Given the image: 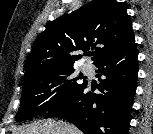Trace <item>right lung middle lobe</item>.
<instances>
[{
    "mask_svg": "<svg viewBox=\"0 0 153 134\" xmlns=\"http://www.w3.org/2000/svg\"><path fill=\"white\" fill-rule=\"evenodd\" d=\"M74 75L73 66L50 69L23 80V91L17 121H24L68 101L82 88L87 81ZM52 89V90H51Z\"/></svg>",
    "mask_w": 153,
    "mask_h": 134,
    "instance_id": "1",
    "label": "right lung middle lobe"
}]
</instances>
